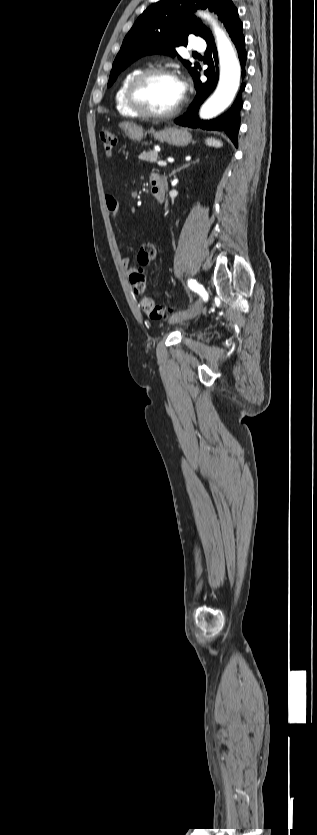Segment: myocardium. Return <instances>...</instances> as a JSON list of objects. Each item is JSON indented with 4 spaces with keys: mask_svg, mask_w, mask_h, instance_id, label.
Wrapping results in <instances>:
<instances>
[{
    "mask_svg": "<svg viewBox=\"0 0 317 835\" xmlns=\"http://www.w3.org/2000/svg\"><path fill=\"white\" fill-rule=\"evenodd\" d=\"M155 76H168L177 80L175 73L164 67H154L141 71L130 82L126 98L129 106L140 116L150 119H164L176 115L182 107V98L176 106L164 112H155L150 110L140 99V91L146 82Z\"/></svg>",
    "mask_w": 317,
    "mask_h": 835,
    "instance_id": "f54148a6",
    "label": "myocardium"
}]
</instances>
